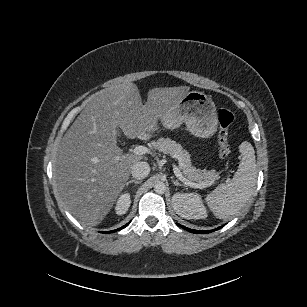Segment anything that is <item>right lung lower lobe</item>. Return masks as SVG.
Returning <instances> with one entry per match:
<instances>
[{
    "instance_id": "right-lung-lower-lobe-1",
    "label": "right lung lower lobe",
    "mask_w": 307,
    "mask_h": 307,
    "mask_svg": "<svg viewBox=\"0 0 307 307\" xmlns=\"http://www.w3.org/2000/svg\"><path fill=\"white\" fill-rule=\"evenodd\" d=\"M128 224H126L125 226H123L122 228L126 227ZM121 228H119L118 230H120ZM116 230H113V231H109L108 233H111V232H115Z\"/></svg>"
}]
</instances>
